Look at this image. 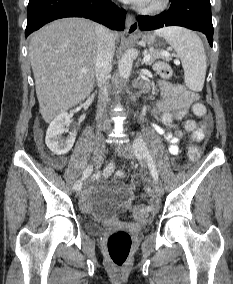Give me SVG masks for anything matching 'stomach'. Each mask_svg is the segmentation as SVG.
I'll return each instance as SVG.
<instances>
[{"label":"stomach","instance_id":"obj_1","mask_svg":"<svg viewBox=\"0 0 233 284\" xmlns=\"http://www.w3.org/2000/svg\"><path fill=\"white\" fill-rule=\"evenodd\" d=\"M142 41H144L149 46H157L158 45V38L153 33H145L142 35ZM160 50V49H157Z\"/></svg>","mask_w":233,"mask_h":284}]
</instances>
